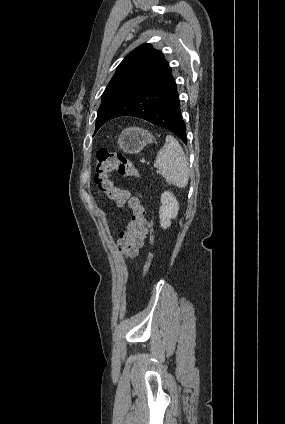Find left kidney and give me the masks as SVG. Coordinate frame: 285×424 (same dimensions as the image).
<instances>
[{
	"label": "left kidney",
	"instance_id": "1",
	"mask_svg": "<svg viewBox=\"0 0 285 424\" xmlns=\"http://www.w3.org/2000/svg\"><path fill=\"white\" fill-rule=\"evenodd\" d=\"M179 203L173 193L165 191L161 195V206L159 209L160 225L167 229L171 225V220L177 217Z\"/></svg>",
	"mask_w": 285,
	"mask_h": 424
}]
</instances>
